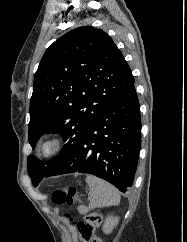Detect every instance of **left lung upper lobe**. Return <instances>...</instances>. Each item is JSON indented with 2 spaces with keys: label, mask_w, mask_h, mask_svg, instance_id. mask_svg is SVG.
<instances>
[{
  "label": "left lung upper lobe",
  "mask_w": 187,
  "mask_h": 242,
  "mask_svg": "<svg viewBox=\"0 0 187 242\" xmlns=\"http://www.w3.org/2000/svg\"><path fill=\"white\" fill-rule=\"evenodd\" d=\"M134 82L122 53L100 29L76 28L50 45L34 76L29 142L34 147L37 137L52 132L65 144L49 161L29 156L31 178L63 162L100 113Z\"/></svg>",
  "instance_id": "5c2ea615"
}]
</instances>
